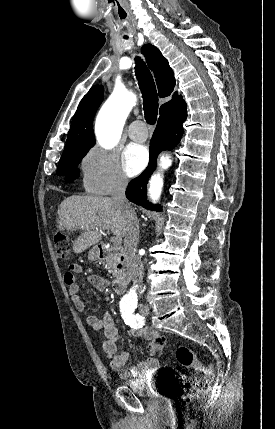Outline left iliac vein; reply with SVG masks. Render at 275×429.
I'll list each match as a JSON object with an SVG mask.
<instances>
[{"instance_id":"4c4485c4","label":"left iliac vein","mask_w":275,"mask_h":429,"mask_svg":"<svg viewBox=\"0 0 275 429\" xmlns=\"http://www.w3.org/2000/svg\"><path fill=\"white\" fill-rule=\"evenodd\" d=\"M140 313L144 316L149 314V307L147 305H143L140 309Z\"/></svg>"}]
</instances>
